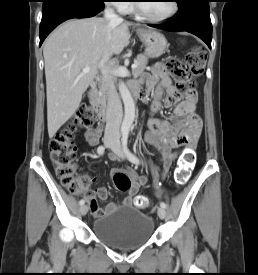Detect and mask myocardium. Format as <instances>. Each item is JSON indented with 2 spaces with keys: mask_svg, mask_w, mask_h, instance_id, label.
<instances>
[{
  "mask_svg": "<svg viewBox=\"0 0 258 275\" xmlns=\"http://www.w3.org/2000/svg\"><path fill=\"white\" fill-rule=\"evenodd\" d=\"M171 2H172V10H171V12L168 13L167 15H165V16H162V17H153V16H150L149 14H147L145 12V10L143 9V7H142V5L140 3H135L134 4V8L137 11V13L140 14L145 19H147L149 21H152V22H162V21H165V20H168V19L174 17L178 13V11H179L178 2L176 0H172Z\"/></svg>",
  "mask_w": 258,
  "mask_h": 275,
  "instance_id": "f54148a6",
  "label": "myocardium"
}]
</instances>
